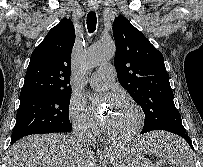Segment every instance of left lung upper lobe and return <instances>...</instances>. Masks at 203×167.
I'll return each mask as SVG.
<instances>
[{"label": "left lung upper lobe", "mask_w": 203, "mask_h": 167, "mask_svg": "<svg viewBox=\"0 0 203 167\" xmlns=\"http://www.w3.org/2000/svg\"><path fill=\"white\" fill-rule=\"evenodd\" d=\"M114 65L121 85L144 111V132H186L175 107L162 53L124 17L113 23Z\"/></svg>", "instance_id": "5c2ea615"}]
</instances>
